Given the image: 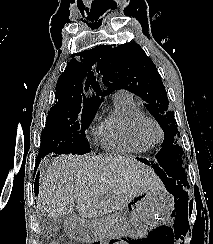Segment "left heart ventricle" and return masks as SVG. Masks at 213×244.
I'll use <instances>...</instances> for the list:
<instances>
[{
    "mask_svg": "<svg viewBox=\"0 0 213 244\" xmlns=\"http://www.w3.org/2000/svg\"><path fill=\"white\" fill-rule=\"evenodd\" d=\"M145 132L149 137L155 138L157 136V131L152 125H147Z\"/></svg>",
    "mask_w": 213,
    "mask_h": 244,
    "instance_id": "b2bd125f",
    "label": "left heart ventricle"
}]
</instances>
